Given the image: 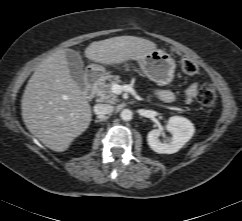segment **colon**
Wrapping results in <instances>:
<instances>
[{"label": "colon", "mask_w": 242, "mask_h": 221, "mask_svg": "<svg viewBox=\"0 0 242 221\" xmlns=\"http://www.w3.org/2000/svg\"><path fill=\"white\" fill-rule=\"evenodd\" d=\"M182 71L189 76H194L198 73V65L190 57L182 56L181 60ZM216 87L211 82L203 83L197 91V101L203 107H211L216 101Z\"/></svg>", "instance_id": "5ec220e1"}]
</instances>
